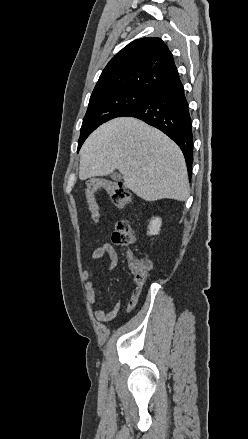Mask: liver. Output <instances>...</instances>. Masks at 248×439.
<instances>
[{"label":"liver","mask_w":248,"mask_h":439,"mask_svg":"<svg viewBox=\"0 0 248 439\" xmlns=\"http://www.w3.org/2000/svg\"><path fill=\"white\" fill-rule=\"evenodd\" d=\"M119 170L124 185L146 201H185L189 183L181 149L164 133L132 118L119 117L98 127L80 151L79 178Z\"/></svg>","instance_id":"6515ba94"}]
</instances>
